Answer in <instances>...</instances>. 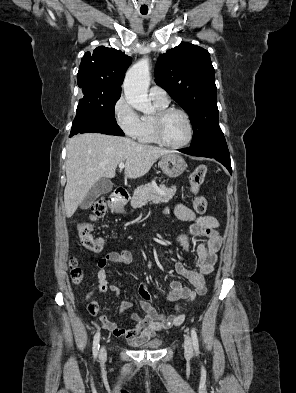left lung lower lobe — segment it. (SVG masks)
Wrapping results in <instances>:
<instances>
[{
	"instance_id": "1",
	"label": "left lung lower lobe",
	"mask_w": 296,
	"mask_h": 393,
	"mask_svg": "<svg viewBox=\"0 0 296 393\" xmlns=\"http://www.w3.org/2000/svg\"><path fill=\"white\" fill-rule=\"evenodd\" d=\"M179 151L193 156L214 158L222 163L232 174L230 154L226 141H221L198 148L180 149Z\"/></svg>"
}]
</instances>
